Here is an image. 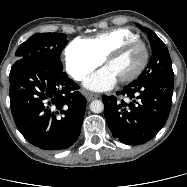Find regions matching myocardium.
<instances>
[{
  "instance_id": "f54148a6",
  "label": "myocardium",
  "mask_w": 187,
  "mask_h": 187,
  "mask_svg": "<svg viewBox=\"0 0 187 187\" xmlns=\"http://www.w3.org/2000/svg\"><path fill=\"white\" fill-rule=\"evenodd\" d=\"M136 44H140L143 46L144 51H145L144 59H143L141 65L132 74H130L122 79H119V81L122 83L131 82V81L137 79L144 72L145 68L148 65L149 59H150V50H149L148 44L144 40H142L141 38L127 40V41H124L123 43L119 44L118 46H116L112 50H110L104 58V61L107 64L111 59L119 57L129 47L136 45Z\"/></svg>"
}]
</instances>
